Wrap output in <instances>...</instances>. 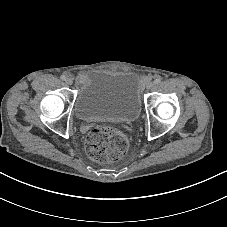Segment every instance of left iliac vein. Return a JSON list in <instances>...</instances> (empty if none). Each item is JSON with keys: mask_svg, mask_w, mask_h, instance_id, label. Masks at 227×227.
Here are the masks:
<instances>
[{"mask_svg": "<svg viewBox=\"0 0 227 227\" xmlns=\"http://www.w3.org/2000/svg\"><path fill=\"white\" fill-rule=\"evenodd\" d=\"M154 86H155V83L154 82H150V83H148L147 88L151 89Z\"/></svg>", "mask_w": 227, "mask_h": 227, "instance_id": "1", "label": "left iliac vein"}]
</instances>
